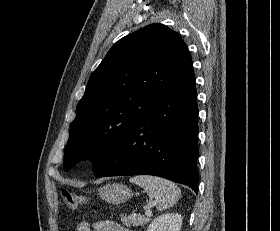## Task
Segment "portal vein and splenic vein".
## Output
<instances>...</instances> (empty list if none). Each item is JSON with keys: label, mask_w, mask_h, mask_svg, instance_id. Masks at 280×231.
Listing matches in <instances>:
<instances>
[{"label": "portal vein and splenic vein", "mask_w": 280, "mask_h": 231, "mask_svg": "<svg viewBox=\"0 0 280 231\" xmlns=\"http://www.w3.org/2000/svg\"><path fill=\"white\" fill-rule=\"evenodd\" d=\"M145 215H148V217H151L152 215V211L151 209H149L148 205H147V209H145Z\"/></svg>", "instance_id": "obj_1"}]
</instances>
